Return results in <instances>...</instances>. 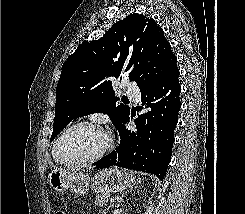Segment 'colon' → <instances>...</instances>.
<instances>
[{
    "label": "colon",
    "instance_id": "obj_1",
    "mask_svg": "<svg viewBox=\"0 0 245 214\" xmlns=\"http://www.w3.org/2000/svg\"><path fill=\"white\" fill-rule=\"evenodd\" d=\"M56 214H67V213L60 211V212H57Z\"/></svg>",
    "mask_w": 245,
    "mask_h": 214
}]
</instances>
